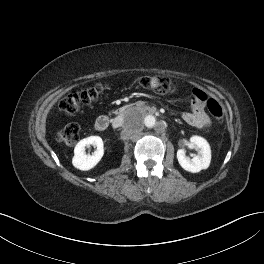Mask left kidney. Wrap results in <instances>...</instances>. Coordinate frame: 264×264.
I'll return each mask as SVG.
<instances>
[{
  "label": "left kidney",
  "instance_id": "left-kidney-1",
  "mask_svg": "<svg viewBox=\"0 0 264 264\" xmlns=\"http://www.w3.org/2000/svg\"><path fill=\"white\" fill-rule=\"evenodd\" d=\"M190 142L198 150V154L190 159L189 157H186L183 149H179L177 151L179 164L183 169L192 173L207 169L211 162V149L209 143L206 139L197 135L192 136Z\"/></svg>",
  "mask_w": 264,
  "mask_h": 264
}]
</instances>
